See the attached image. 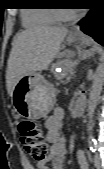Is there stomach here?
Segmentation results:
<instances>
[{"mask_svg":"<svg viewBox=\"0 0 104 169\" xmlns=\"http://www.w3.org/2000/svg\"><path fill=\"white\" fill-rule=\"evenodd\" d=\"M69 42L77 37L69 35ZM11 101L17 114L26 119L37 120L46 117L56 103V91L40 73L22 77L15 85Z\"/></svg>","mask_w":104,"mask_h":169,"instance_id":"0dacf381","label":"stomach"}]
</instances>
